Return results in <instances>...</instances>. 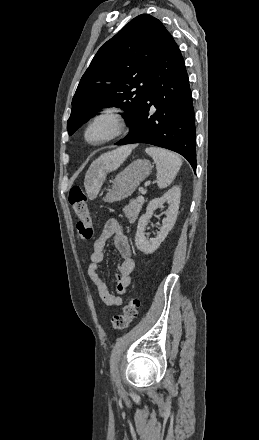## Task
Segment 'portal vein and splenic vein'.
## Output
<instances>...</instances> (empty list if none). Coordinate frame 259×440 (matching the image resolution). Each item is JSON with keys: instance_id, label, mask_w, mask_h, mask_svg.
Segmentation results:
<instances>
[{"instance_id": "obj_1", "label": "portal vein and splenic vein", "mask_w": 259, "mask_h": 440, "mask_svg": "<svg viewBox=\"0 0 259 440\" xmlns=\"http://www.w3.org/2000/svg\"><path fill=\"white\" fill-rule=\"evenodd\" d=\"M142 194H144V192H142ZM137 200L142 202V201H144V197L142 195H140V196H138Z\"/></svg>"}]
</instances>
